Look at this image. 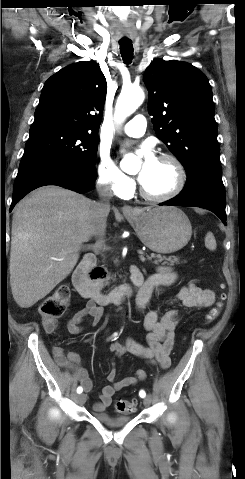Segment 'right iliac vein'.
<instances>
[{"instance_id":"right-iliac-vein-1","label":"right iliac vein","mask_w":245,"mask_h":479,"mask_svg":"<svg viewBox=\"0 0 245 479\" xmlns=\"http://www.w3.org/2000/svg\"><path fill=\"white\" fill-rule=\"evenodd\" d=\"M77 401L79 404H84L86 401V395L85 394H80L77 396Z\"/></svg>"}]
</instances>
